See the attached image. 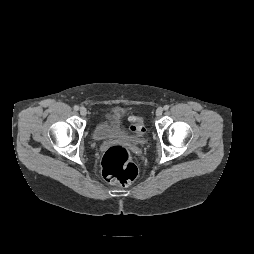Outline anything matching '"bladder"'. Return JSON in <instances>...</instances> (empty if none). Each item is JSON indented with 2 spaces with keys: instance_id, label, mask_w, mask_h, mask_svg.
<instances>
[{
  "instance_id": "obj_1",
  "label": "bladder",
  "mask_w": 254,
  "mask_h": 254,
  "mask_svg": "<svg viewBox=\"0 0 254 254\" xmlns=\"http://www.w3.org/2000/svg\"><path fill=\"white\" fill-rule=\"evenodd\" d=\"M127 136H129V132L120 119L111 123L101 120L97 122L93 130V137L97 141Z\"/></svg>"
}]
</instances>
